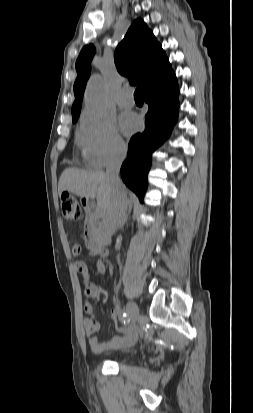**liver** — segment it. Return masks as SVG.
<instances>
[{
  "instance_id": "1",
  "label": "liver",
  "mask_w": 253,
  "mask_h": 413,
  "mask_svg": "<svg viewBox=\"0 0 253 413\" xmlns=\"http://www.w3.org/2000/svg\"><path fill=\"white\" fill-rule=\"evenodd\" d=\"M64 191L87 199L96 197L97 206L104 213H107L113 199L112 185L103 171L65 169L58 182L59 195Z\"/></svg>"
}]
</instances>
